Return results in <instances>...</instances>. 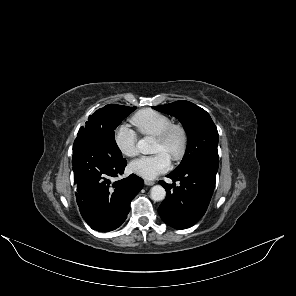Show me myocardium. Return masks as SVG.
Returning <instances> with one entry per match:
<instances>
[{"label": "myocardium", "mask_w": 296, "mask_h": 296, "mask_svg": "<svg viewBox=\"0 0 296 296\" xmlns=\"http://www.w3.org/2000/svg\"><path fill=\"white\" fill-rule=\"evenodd\" d=\"M175 136L178 138V144L171 155V159L179 161L184 156L188 143L187 131L181 124H171L155 138L162 145L169 146Z\"/></svg>", "instance_id": "f54148a6"}]
</instances>
